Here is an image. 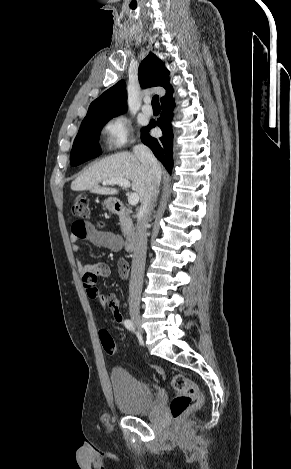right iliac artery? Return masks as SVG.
I'll return each instance as SVG.
<instances>
[{
	"mask_svg": "<svg viewBox=\"0 0 291 469\" xmlns=\"http://www.w3.org/2000/svg\"><path fill=\"white\" fill-rule=\"evenodd\" d=\"M124 325L128 330L133 331V332L135 331L134 324L131 320L126 319L125 322H124Z\"/></svg>",
	"mask_w": 291,
	"mask_h": 469,
	"instance_id": "obj_1",
	"label": "right iliac artery"
}]
</instances>
